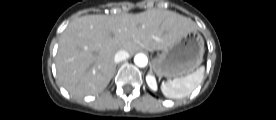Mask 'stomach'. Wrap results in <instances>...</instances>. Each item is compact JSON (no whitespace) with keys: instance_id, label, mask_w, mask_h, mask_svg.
<instances>
[{"instance_id":"stomach-1","label":"stomach","mask_w":276,"mask_h":120,"mask_svg":"<svg viewBox=\"0 0 276 120\" xmlns=\"http://www.w3.org/2000/svg\"><path fill=\"white\" fill-rule=\"evenodd\" d=\"M203 55L204 40L197 31H192L158 54L152 68L157 76L168 79L188 75L199 67Z\"/></svg>"}]
</instances>
